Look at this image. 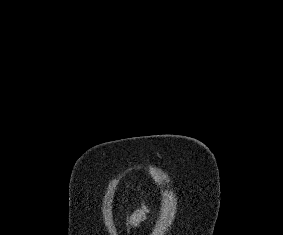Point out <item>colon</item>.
<instances>
[{"instance_id":"1","label":"colon","mask_w":283,"mask_h":235,"mask_svg":"<svg viewBox=\"0 0 283 235\" xmlns=\"http://www.w3.org/2000/svg\"><path fill=\"white\" fill-rule=\"evenodd\" d=\"M149 213V208L146 204H143L133 215V218L138 220L141 219L144 215Z\"/></svg>"}]
</instances>
